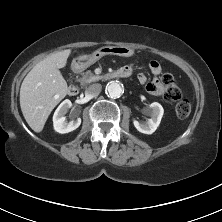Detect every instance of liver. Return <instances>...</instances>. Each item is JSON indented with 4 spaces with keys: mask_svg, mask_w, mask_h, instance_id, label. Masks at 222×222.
Segmentation results:
<instances>
[{
    "mask_svg": "<svg viewBox=\"0 0 222 222\" xmlns=\"http://www.w3.org/2000/svg\"><path fill=\"white\" fill-rule=\"evenodd\" d=\"M70 49L52 53L37 63L24 78L20 88V107L23 116L35 132H41L55 106L68 92L63 68ZM87 56V55H83Z\"/></svg>",
    "mask_w": 222,
    "mask_h": 222,
    "instance_id": "6515ba94",
    "label": "liver"
}]
</instances>
